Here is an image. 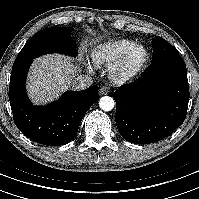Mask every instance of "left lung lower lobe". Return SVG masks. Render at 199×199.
<instances>
[{
  "label": "left lung lower lobe",
  "mask_w": 199,
  "mask_h": 199,
  "mask_svg": "<svg viewBox=\"0 0 199 199\" xmlns=\"http://www.w3.org/2000/svg\"><path fill=\"white\" fill-rule=\"evenodd\" d=\"M189 96L186 65L179 54L151 61L138 81L113 93L119 133L135 144L168 137L184 122Z\"/></svg>",
  "instance_id": "left-lung-lower-lobe-1"
}]
</instances>
